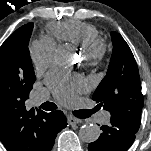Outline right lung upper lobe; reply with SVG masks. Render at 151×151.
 I'll return each mask as SVG.
<instances>
[{"mask_svg":"<svg viewBox=\"0 0 151 151\" xmlns=\"http://www.w3.org/2000/svg\"><path fill=\"white\" fill-rule=\"evenodd\" d=\"M30 92V91H29ZM29 92L0 94V139L7 151H45L47 114L25 107Z\"/></svg>","mask_w":151,"mask_h":151,"instance_id":"cb5924a9","label":"right lung upper lobe"}]
</instances>
